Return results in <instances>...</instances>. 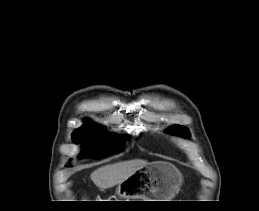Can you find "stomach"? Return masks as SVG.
Segmentation results:
<instances>
[{
  "mask_svg": "<svg viewBox=\"0 0 259 211\" xmlns=\"http://www.w3.org/2000/svg\"><path fill=\"white\" fill-rule=\"evenodd\" d=\"M180 184L181 176L175 167L166 162H153L118 184L115 194L118 198L169 201Z\"/></svg>",
  "mask_w": 259,
  "mask_h": 211,
  "instance_id": "obj_1",
  "label": "stomach"
}]
</instances>
